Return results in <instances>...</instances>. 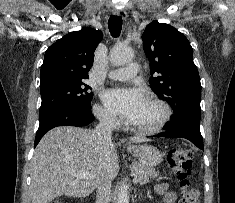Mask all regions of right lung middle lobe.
Here are the masks:
<instances>
[{
  "mask_svg": "<svg viewBox=\"0 0 235 203\" xmlns=\"http://www.w3.org/2000/svg\"><path fill=\"white\" fill-rule=\"evenodd\" d=\"M83 80L55 81L40 85V114L62 106L91 109L93 93Z\"/></svg>",
  "mask_w": 235,
  "mask_h": 203,
  "instance_id": "obj_1",
  "label": "right lung middle lobe"
}]
</instances>
